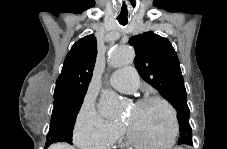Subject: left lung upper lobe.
Listing matches in <instances>:
<instances>
[{
  "instance_id": "obj_1",
  "label": "left lung upper lobe",
  "mask_w": 227,
  "mask_h": 149,
  "mask_svg": "<svg viewBox=\"0 0 227 149\" xmlns=\"http://www.w3.org/2000/svg\"><path fill=\"white\" fill-rule=\"evenodd\" d=\"M135 67L140 76L170 102L177 110L180 126L178 145H192L189 108L179 59L168 39L152 31L132 36Z\"/></svg>"
}]
</instances>
